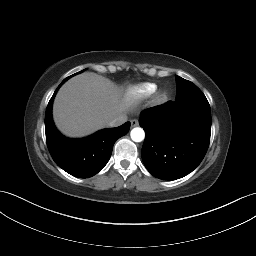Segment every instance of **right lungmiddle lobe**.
Here are the masks:
<instances>
[{"instance_id":"1","label":"right lung middle lobe","mask_w":256,"mask_h":256,"mask_svg":"<svg viewBox=\"0 0 256 256\" xmlns=\"http://www.w3.org/2000/svg\"><path fill=\"white\" fill-rule=\"evenodd\" d=\"M84 70H82V71H80V72H78V73H81V72H83ZM78 73H76V74H78ZM76 74H74V75H76ZM73 76V75H72ZM71 76H69V77H67L65 80H67V79H69Z\"/></svg>"}]
</instances>
